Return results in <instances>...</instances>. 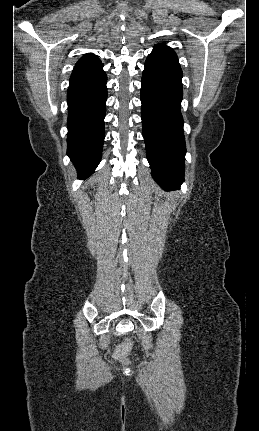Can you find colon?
Here are the masks:
<instances>
[{
    "mask_svg": "<svg viewBox=\"0 0 259 431\" xmlns=\"http://www.w3.org/2000/svg\"><path fill=\"white\" fill-rule=\"evenodd\" d=\"M132 342L129 338L125 337L123 342L115 351V357L120 361H126V357L131 350Z\"/></svg>",
    "mask_w": 259,
    "mask_h": 431,
    "instance_id": "colon-1",
    "label": "colon"
}]
</instances>
